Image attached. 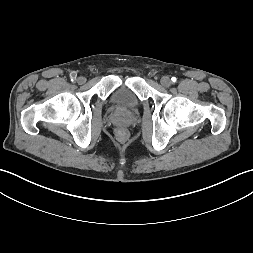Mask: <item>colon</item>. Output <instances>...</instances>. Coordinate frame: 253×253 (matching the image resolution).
I'll use <instances>...</instances> for the list:
<instances>
[{"mask_svg":"<svg viewBox=\"0 0 253 253\" xmlns=\"http://www.w3.org/2000/svg\"><path fill=\"white\" fill-rule=\"evenodd\" d=\"M127 131L124 129L118 130V137L121 139H125L127 137Z\"/></svg>","mask_w":253,"mask_h":253,"instance_id":"colon-1","label":"colon"}]
</instances>
